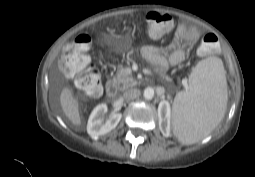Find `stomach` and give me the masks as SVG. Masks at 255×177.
Masks as SVG:
<instances>
[{"instance_id": "1", "label": "stomach", "mask_w": 255, "mask_h": 177, "mask_svg": "<svg viewBox=\"0 0 255 177\" xmlns=\"http://www.w3.org/2000/svg\"><path fill=\"white\" fill-rule=\"evenodd\" d=\"M115 49L119 51H125L131 47V37L128 31H121L114 36Z\"/></svg>"}]
</instances>
